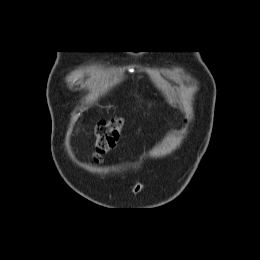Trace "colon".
Segmentation results:
<instances>
[{"label": "colon", "instance_id": "5ec220e1", "mask_svg": "<svg viewBox=\"0 0 260 260\" xmlns=\"http://www.w3.org/2000/svg\"><path fill=\"white\" fill-rule=\"evenodd\" d=\"M122 119L115 118L101 121L96 127V153L94 160L99 162L105 154L112 150L121 138Z\"/></svg>", "mask_w": 260, "mask_h": 260}]
</instances>
